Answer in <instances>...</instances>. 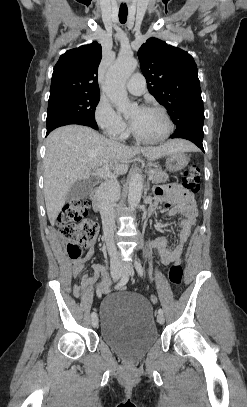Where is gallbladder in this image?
Here are the masks:
<instances>
[{
	"label": "gallbladder",
	"instance_id": "gallbladder-1",
	"mask_svg": "<svg viewBox=\"0 0 247 407\" xmlns=\"http://www.w3.org/2000/svg\"><path fill=\"white\" fill-rule=\"evenodd\" d=\"M95 181L93 179H86L82 181L75 182L69 189L66 200H81L86 198L91 192Z\"/></svg>",
	"mask_w": 247,
	"mask_h": 407
}]
</instances>
